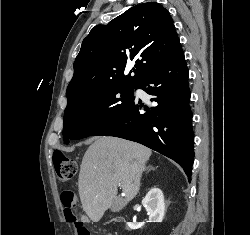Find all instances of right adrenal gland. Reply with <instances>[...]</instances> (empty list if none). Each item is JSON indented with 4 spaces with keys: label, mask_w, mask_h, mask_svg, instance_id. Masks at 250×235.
<instances>
[{
    "label": "right adrenal gland",
    "mask_w": 250,
    "mask_h": 235,
    "mask_svg": "<svg viewBox=\"0 0 250 235\" xmlns=\"http://www.w3.org/2000/svg\"><path fill=\"white\" fill-rule=\"evenodd\" d=\"M155 168L153 166H148V168L146 169V172H149L150 170H154Z\"/></svg>",
    "instance_id": "obj_1"
}]
</instances>
